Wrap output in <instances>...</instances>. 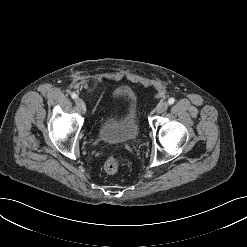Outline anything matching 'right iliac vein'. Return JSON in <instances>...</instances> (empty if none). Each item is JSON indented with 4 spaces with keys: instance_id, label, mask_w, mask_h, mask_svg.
Listing matches in <instances>:
<instances>
[{
    "instance_id": "right-iliac-vein-1",
    "label": "right iliac vein",
    "mask_w": 247,
    "mask_h": 247,
    "mask_svg": "<svg viewBox=\"0 0 247 247\" xmlns=\"http://www.w3.org/2000/svg\"><path fill=\"white\" fill-rule=\"evenodd\" d=\"M76 105L83 113L86 111V105L82 99L80 98L76 99Z\"/></svg>"
}]
</instances>
